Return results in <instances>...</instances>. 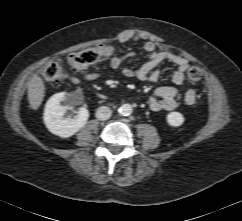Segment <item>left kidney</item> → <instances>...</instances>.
Wrapping results in <instances>:
<instances>
[{
    "label": "left kidney",
    "mask_w": 242,
    "mask_h": 221,
    "mask_svg": "<svg viewBox=\"0 0 242 221\" xmlns=\"http://www.w3.org/2000/svg\"><path fill=\"white\" fill-rule=\"evenodd\" d=\"M167 122L172 127H178L181 126L184 122V117L179 112H171L166 117Z\"/></svg>",
    "instance_id": "1"
}]
</instances>
